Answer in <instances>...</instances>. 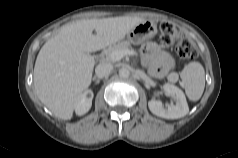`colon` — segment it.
Listing matches in <instances>:
<instances>
[{"label":"colon","instance_id":"colon-1","mask_svg":"<svg viewBox=\"0 0 238 158\" xmlns=\"http://www.w3.org/2000/svg\"><path fill=\"white\" fill-rule=\"evenodd\" d=\"M160 41L165 46L175 44V49L180 58L193 59L197 56V51L193 43L183 37L178 28L170 22H163L159 26Z\"/></svg>","mask_w":238,"mask_h":158}]
</instances>
